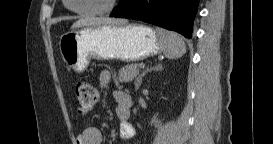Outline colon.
Returning <instances> with one entry per match:
<instances>
[{
    "label": "colon",
    "mask_w": 273,
    "mask_h": 144,
    "mask_svg": "<svg viewBox=\"0 0 273 144\" xmlns=\"http://www.w3.org/2000/svg\"><path fill=\"white\" fill-rule=\"evenodd\" d=\"M77 109L80 113L93 110L97 103L98 92L94 85L86 80H80L76 84Z\"/></svg>",
    "instance_id": "5ec220e1"
}]
</instances>
